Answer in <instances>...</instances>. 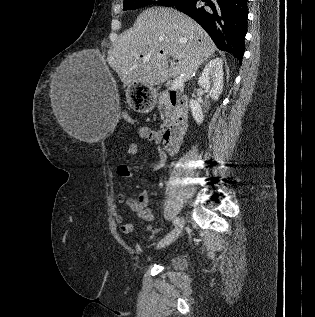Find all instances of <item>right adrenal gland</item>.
Returning <instances> with one entry per match:
<instances>
[{
    "label": "right adrenal gland",
    "mask_w": 315,
    "mask_h": 317,
    "mask_svg": "<svg viewBox=\"0 0 315 317\" xmlns=\"http://www.w3.org/2000/svg\"><path fill=\"white\" fill-rule=\"evenodd\" d=\"M206 60H207V58H205L202 63H204Z\"/></svg>",
    "instance_id": "1"
}]
</instances>
